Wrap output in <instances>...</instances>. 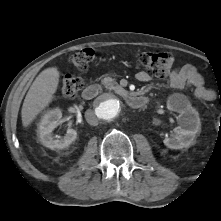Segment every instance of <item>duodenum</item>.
<instances>
[{
    "label": "duodenum",
    "instance_id": "410a0bca",
    "mask_svg": "<svg viewBox=\"0 0 221 221\" xmlns=\"http://www.w3.org/2000/svg\"><path fill=\"white\" fill-rule=\"evenodd\" d=\"M100 91H101V85L98 83H92L85 88L83 92V97L86 100H91L95 98L100 93ZM124 99L132 108H140L147 103V98L143 96L125 94Z\"/></svg>",
    "mask_w": 221,
    "mask_h": 221
}]
</instances>
